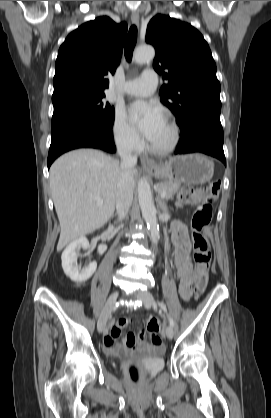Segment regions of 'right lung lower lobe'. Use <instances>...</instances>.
I'll list each match as a JSON object with an SVG mask.
<instances>
[{
    "mask_svg": "<svg viewBox=\"0 0 271 418\" xmlns=\"http://www.w3.org/2000/svg\"><path fill=\"white\" fill-rule=\"evenodd\" d=\"M48 168L61 154L77 148H97L115 152L112 124L102 120H88L66 124L51 130Z\"/></svg>",
    "mask_w": 271,
    "mask_h": 418,
    "instance_id": "right-lung-lower-lobe-1",
    "label": "right lung lower lobe"
}]
</instances>
